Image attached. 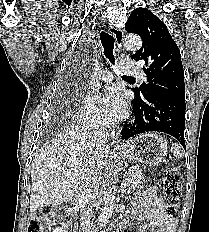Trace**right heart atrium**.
I'll return each mask as SVG.
<instances>
[{
  "mask_svg": "<svg viewBox=\"0 0 209 232\" xmlns=\"http://www.w3.org/2000/svg\"><path fill=\"white\" fill-rule=\"evenodd\" d=\"M77 123L85 129H94L105 125L106 121L91 97H85L76 113Z\"/></svg>",
  "mask_w": 209,
  "mask_h": 232,
  "instance_id": "right-heart-atrium-1",
  "label": "right heart atrium"
}]
</instances>
